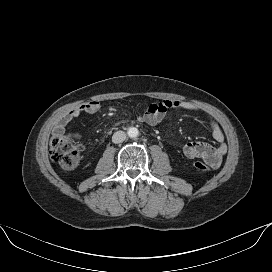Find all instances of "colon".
Returning <instances> with one entry per match:
<instances>
[{
	"label": "colon",
	"mask_w": 272,
	"mask_h": 272,
	"mask_svg": "<svg viewBox=\"0 0 272 272\" xmlns=\"http://www.w3.org/2000/svg\"><path fill=\"white\" fill-rule=\"evenodd\" d=\"M158 125L164 126V118L158 121ZM50 156L54 162L65 170L76 168L81 159L80 151L74 143L73 137L69 134H54L50 140ZM193 167L199 171H208L209 166L197 161L193 163Z\"/></svg>",
	"instance_id": "obj_1"
}]
</instances>
